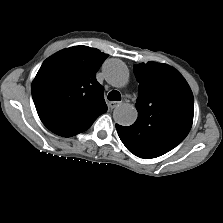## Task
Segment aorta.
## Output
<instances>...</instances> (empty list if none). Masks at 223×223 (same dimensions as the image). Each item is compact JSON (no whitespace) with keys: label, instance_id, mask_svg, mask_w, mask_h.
Returning a JSON list of instances; mask_svg holds the SVG:
<instances>
[{"label":"aorta","instance_id":"obj_1","mask_svg":"<svg viewBox=\"0 0 223 223\" xmlns=\"http://www.w3.org/2000/svg\"><path fill=\"white\" fill-rule=\"evenodd\" d=\"M106 81L117 88L124 87L129 79L128 68L119 59H109L103 64ZM138 111L135 106L123 103L118 105L113 112L114 121L121 126H130L135 123Z\"/></svg>","mask_w":223,"mask_h":223}]
</instances>
